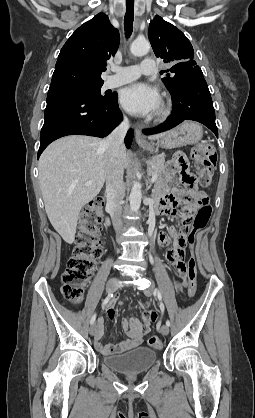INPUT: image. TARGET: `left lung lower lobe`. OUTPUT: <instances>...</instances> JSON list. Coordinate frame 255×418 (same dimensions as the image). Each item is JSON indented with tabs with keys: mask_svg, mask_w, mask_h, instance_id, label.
Wrapping results in <instances>:
<instances>
[{
	"mask_svg": "<svg viewBox=\"0 0 255 418\" xmlns=\"http://www.w3.org/2000/svg\"><path fill=\"white\" fill-rule=\"evenodd\" d=\"M173 112L159 127L144 129L146 135L167 131L185 120L198 121L207 126L218 137L215 111L203 75L191 78L171 94Z\"/></svg>",
	"mask_w": 255,
	"mask_h": 418,
	"instance_id": "0a47b994",
	"label": "left lung lower lobe"
}]
</instances>
